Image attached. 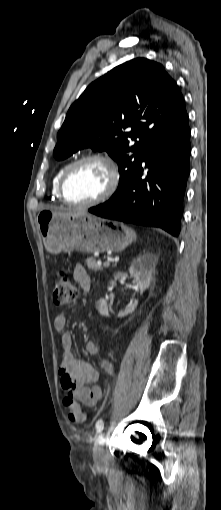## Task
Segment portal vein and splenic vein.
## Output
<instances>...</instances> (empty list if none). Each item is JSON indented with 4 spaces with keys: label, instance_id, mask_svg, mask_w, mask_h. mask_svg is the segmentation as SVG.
<instances>
[{
    "label": "portal vein and splenic vein",
    "instance_id": "portal-vein-and-splenic-vein-1",
    "mask_svg": "<svg viewBox=\"0 0 221 510\" xmlns=\"http://www.w3.org/2000/svg\"><path fill=\"white\" fill-rule=\"evenodd\" d=\"M110 262H111V260H110V259H108L107 261H105V262H104V264H103V265H104L105 267H109ZM98 264H101V262H98Z\"/></svg>",
    "mask_w": 221,
    "mask_h": 510
}]
</instances>
